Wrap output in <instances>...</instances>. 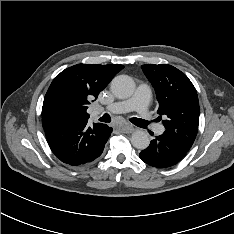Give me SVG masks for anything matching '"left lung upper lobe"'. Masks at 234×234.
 <instances>
[{
    "label": "left lung upper lobe",
    "instance_id": "5c2ea615",
    "mask_svg": "<svg viewBox=\"0 0 234 234\" xmlns=\"http://www.w3.org/2000/svg\"><path fill=\"white\" fill-rule=\"evenodd\" d=\"M141 68L155 89L157 113L165 117L164 133L188 151L199 124V101L194 85L183 72L168 64H146Z\"/></svg>",
    "mask_w": 234,
    "mask_h": 234
}]
</instances>
